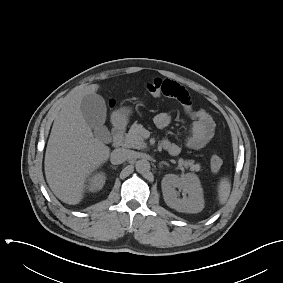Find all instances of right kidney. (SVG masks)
I'll use <instances>...</instances> for the list:
<instances>
[{
  "label": "right kidney",
  "mask_w": 283,
  "mask_h": 283,
  "mask_svg": "<svg viewBox=\"0 0 283 283\" xmlns=\"http://www.w3.org/2000/svg\"><path fill=\"white\" fill-rule=\"evenodd\" d=\"M106 176L103 173H97L89 179V191L96 192L102 189L105 184Z\"/></svg>",
  "instance_id": "obj_1"
}]
</instances>
